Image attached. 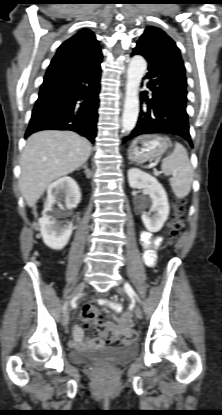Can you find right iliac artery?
<instances>
[{"label":"right iliac artery","instance_id":"82829eb1","mask_svg":"<svg viewBox=\"0 0 222 415\" xmlns=\"http://www.w3.org/2000/svg\"><path fill=\"white\" fill-rule=\"evenodd\" d=\"M65 308H66V304L64 305V308L63 309L65 310Z\"/></svg>","mask_w":222,"mask_h":415}]
</instances>
